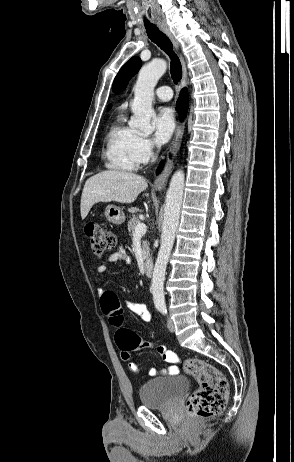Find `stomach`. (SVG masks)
Instances as JSON below:
<instances>
[{"mask_svg":"<svg viewBox=\"0 0 294 462\" xmlns=\"http://www.w3.org/2000/svg\"><path fill=\"white\" fill-rule=\"evenodd\" d=\"M105 216L112 224H122L125 220L124 212L116 205L109 204L105 209Z\"/></svg>","mask_w":294,"mask_h":462,"instance_id":"1","label":"stomach"}]
</instances>
